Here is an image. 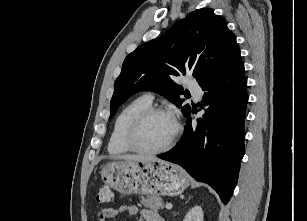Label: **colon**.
Returning a JSON list of instances; mask_svg holds the SVG:
<instances>
[{
	"label": "colon",
	"mask_w": 307,
	"mask_h": 221,
	"mask_svg": "<svg viewBox=\"0 0 307 221\" xmlns=\"http://www.w3.org/2000/svg\"><path fill=\"white\" fill-rule=\"evenodd\" d=\"M112 200H113V195L110 187L107 185L100 186L96 195L97 205H104L111 202Z\"/></svg>",
	"instance_id": "5ec220e1"
}]
</instances>
